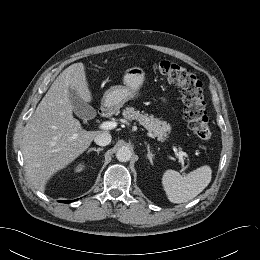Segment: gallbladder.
<instances>
[{"label": "gallbladder", "instance_id": "gallbladder-1", "mask_svg": "<svg viewBox=\"0 0 260 260\" xmlns=\"http://www.w3.org/2000/svg\"><path fill=\"white\" fill-rule=\"evenodd\" d=\"M69 96L73 105V111L79 118L90 119L95 117V109L89 104L83 102L74 89H69Z\"/></svg>", "mask_w": 260, "mask_h": 260}]
</instances>
